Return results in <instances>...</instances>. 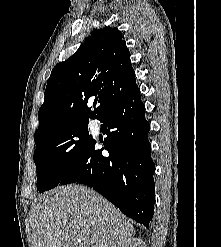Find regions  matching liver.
Masks as SVG:
<instances>
[{"mask_svg":"<svg viewBox=\"0 0 221 247\" xmlns=\"http://www.w3.org/2000/svg\"><path fill=\"white\" fill-rule=\"evenodd\" d=\"M30 226L32 247H112L135 232L112 203L81 185L38 197Z\"/></svg>","mask_w":221,"mask_h":247,"instance_id":"obj_1","label":"liver"}]
</instances>
